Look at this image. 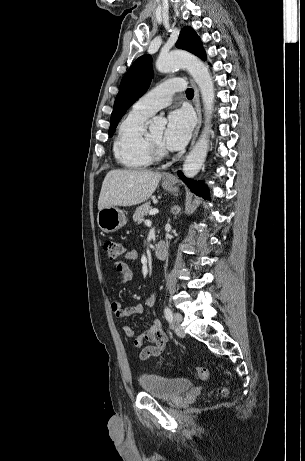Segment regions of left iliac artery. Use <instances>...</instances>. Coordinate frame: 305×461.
Instances as JSON below:
<instances>
[{
    "label": "left iliac artery",
    "mask_w": 305,
    "mask_h": 461,
    "mask_svg": "<svg viewBox=\"0 0 305 461\" xmlns=\"http://www.w3.org/2000/svg\"><path fill=\"white\" fill-rule=\"evenodd\" d=\"M164 315H165V318L167 319V321H169V322L173 321V314H172V311L170 310V308L165 307Z\"/></svg>",
    "instance_id": "obj_1"
}]
</instances>
